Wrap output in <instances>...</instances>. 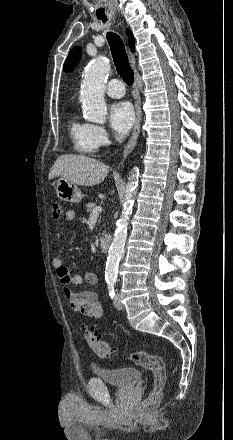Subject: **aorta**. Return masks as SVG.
I'll return each instance as SVG.
<instances>
[{"mask_svg":"<svg viewBox=\"0 0 233 440\" xmlns=\"http://www.w3.org/2000/svg\"><path fill=\"white\" fill-rule=\"evenodd\" d=\"M110 72V63L103 57H97L86 69L81 89V101L84 115L88 121L103 124L106 121L107 107L104 100L105 83ZM138 179L133 174L126 188L125 201L113 241L108 251L105 278L114 281L117 277L118 264L124 254L127 228L136 195Z\"/></svg>","mask_w":233,"mask_h":440,"instance_id":"aorta-1","label":"aorta"}]
</instances>
